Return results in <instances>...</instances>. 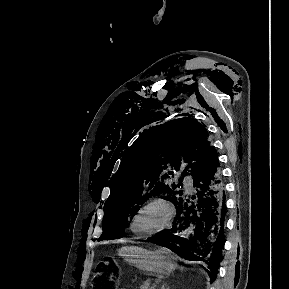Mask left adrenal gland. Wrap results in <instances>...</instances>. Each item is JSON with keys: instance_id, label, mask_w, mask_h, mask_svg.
<instances>
[{"instance_id": "obj_1", "label": "left adrenal gland", "mask_w": 289, "mask_h": 289, "mask_svg": "<svg viewBox=\"0 0 289 289\" xmlns=\"http://www.w3.org/2000/svg\"><path fill=\"white\" fill-rule=\"evenodd\" d=\"M160 289H169L168 286H166V283H162L161 288Z\"/></svg>"}]
</instances>
